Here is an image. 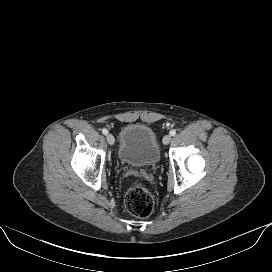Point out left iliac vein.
I'll return each instance as SVG.
<instances>
[{"mask_svg":"<svg viewBox=\"0 0 272 272\" xmlns=\"http://www.w3.org/2000/svg\"><path fill=\"white\" fill-rule=\"evenodd\" d=\"M171 141V136L170 135H165L163 137V144L167 145Z\"/></svg>","mask_w":272,"mask_h":272,"instance_id":"4c4485c4","label":"left iliac vein"}]
</instances>
